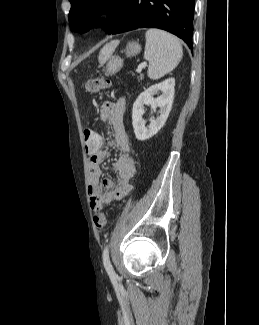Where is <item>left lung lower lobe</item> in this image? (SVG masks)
<instances>
[{
    "mask_svg": "<svg viewBox=\"0 0 259 325\" xmlns=\"http://www.w3.org/2000/svg\"><path fill=\"white\" fill-rule=\"evenodd\" d=\"M195 0H127L111 34L159 28L192 46Z\"/></svg>",
    "mask_w": 259,
    "mask_h": 325,
    "instance_id": "0a47b994",
    "label": "left lung lower lobe"
}]
</instances>
